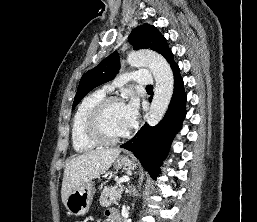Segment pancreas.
<instances>
[{
	"mask_svg": "<svg viewBox=\"0 0 257 222\" xmlns=\"http://www.w3.org/2000/svg\"><path fill=\"white\" fill-rule=\"evenodd\" d=\"M123 186L119 185V188L107 187L105 186L101 192V196L99 199L101 206H108L111 203H116L123 192Z\"/></svg>",
	"mask_w": 257,
	"mask_h": 222,
	"instance_id": "obj_1",
	"label": "pancreas"
}]
</instances>
